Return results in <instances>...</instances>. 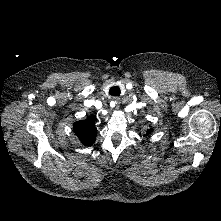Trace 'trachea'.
Segmentation results:
<instances>
[{"label":"trachea","mask_w":221,"mask_h":221,"mask_svg":"<svg viewBox=\"0 0 221 221\" xmlns=\"http://www.w3.org/2000/svg\"><path fill=\"white\" fill-rule=\"evenodd\" d=\"M109 94L112 96H119L121 94V90L118 86H113L110 88Z\"/></svg>","instance_id":"obj_1"}]
</instances>
